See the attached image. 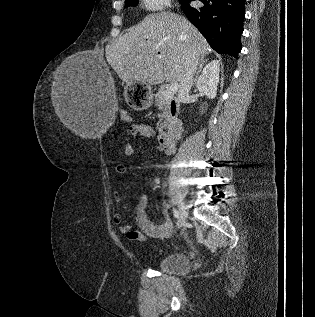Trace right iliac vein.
<instances>
[{"mask_svg":"<svg viewBox=\"0 0 315 317\" xmlns=\"http://www.w3.org/2000/svg\"><path fill=\"white\" fill-rule=\"evenodd\" d=\"M178 212H179V217H178L177 228H181L185 224L186 215H187L186 206L183 202L179 203Z\"/></svg>","mask_w":315,"mask_h":317,"instance_id":"right-iliac-vein-1","label":"right iliac vein"}]
</instances>
